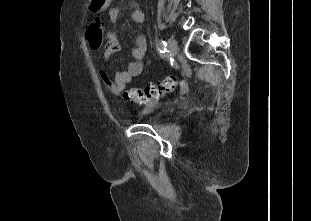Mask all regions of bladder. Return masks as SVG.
<instances>
[{"instance_id":"31cf9c89","label":"bladder","mask_w":311,"mask_h":221,"mask_svg":"<svg viewBox=\"0 0 311 221\" xmlns=\"http://www.w3.org/2000/svg\"><path fill=\"white\" fill-rule=\"evenodd\" d=\"M160 108H161L160 105L157 106L154 111L152 108H147L145 112L147 115H150V116L148 118H145L143 122L150 124V125H157L159 123V119L156 116V113H158Z\"/></svg>"}]
</instances>
